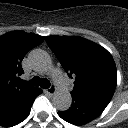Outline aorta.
<instances>
[{"label":"aorta","instance_id":"aorta-1","mask_svg":"<svg viewBox=\"0 0 128 128\" xmlns=\"http://www.w3.org/2000/svg\"><path fill=\"white\" fill-rule=\"evenodd\" d=\"M29 60L32 65L40 70L46 71L51 67V58L47 52L41 49H35L30 52ZM72 96L67 90H59L53 96V105L59 111H66L71 107Z\"/></svg>","mask_w":128,"mask_h":128}]
</instances>
